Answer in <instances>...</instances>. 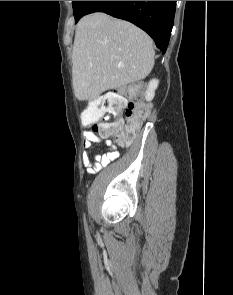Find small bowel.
<instances>
[{
  "instance_id": "1",
  "label": "small bowel",
  "mask_w": 233,
  "mask_h": 295,
  "mask_svg": "<svg viewBox=\"0 0 233 295\" xmlns=\"http://www.w3.org/2000/svg\"><path fill=\"white\" fill-rule=\"evenodd\" d=\"M100 138L96 136L93 132H86L84 135V141H83V162L87 167V173L94 174L100 171L103 167L107 166L110 162L114 161L119 156V151L112 147L103 155L100 154H94L91 158L87 152L89 150L93 143L100 142Z\"/></svg>"
}]
</instances>
